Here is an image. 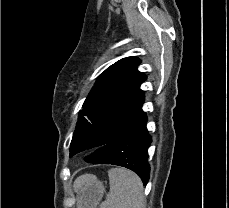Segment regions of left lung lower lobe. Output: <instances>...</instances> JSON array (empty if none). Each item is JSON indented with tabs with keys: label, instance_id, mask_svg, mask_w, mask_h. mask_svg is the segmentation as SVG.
Masks as SVG:
<instances>
[{
	"label": "left lung lower lobe",
	"instance_id": "0a47b994",
	"mask_svg": "<svg viewBox=\"0 0 229 208\" xmlns=\"http://www.w3.org/2000/svg\"><path fill=\"white\" fill-rule=\"evenodd\" d=\"M147 118L145 115L127 129H112L99 131L85 142L70 150V157L83 150L101 146L85 161L93 164H112L126 167L134 171L147 185L150 166L147 162L148 148L152 139L146 129Z\"/></svg>",
	"mask_w": 229,
	"mask_h": 208
}]
</instances>
